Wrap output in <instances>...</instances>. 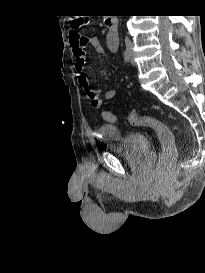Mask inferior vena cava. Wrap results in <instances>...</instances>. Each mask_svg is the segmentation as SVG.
I'll list each match as a JSON object with an SVG mask.
<instances>
[{
	"label": "inferior vena cava",
	"mask_w": 205,
	"mask_h": 273,
	"mask_svg": "<svg viewBox=\"0 0 205 273\" xmlns=\"http://www.w3.org/2000/svg\"><path fill=\"white\" fill-rule=\"evenodd\" d=\"M125 44H126L127 47H131L132 46V43H131V41L129 40L128 37L125 38Z\"/></svg>",
	"instance_id": "inferior-vena-cava-1"
}]
</instances>
